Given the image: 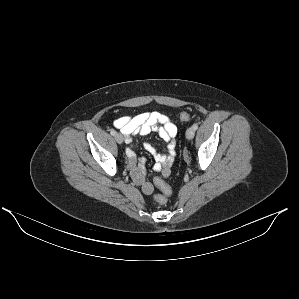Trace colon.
Segmentation results:
<instances>
[{
    "instance_id": "5ec220e1",
    "label": "colon",
    "mask_w": 299,
    "mask_h": 299,
    "mask_svg": "<svg viewBox=\"0 0 299 299\" xmlns=\"http://www.w3.org/2000/svg\"><path fill=\"white\" fill-rule=\"evenodd\" d=\"M179 118H180L181 121H187L190 118V115L187 112H183V113L180 114ZM157 185L160 188L162 194L156 195L155 200L159 204L163 205L167 202V198L171 194V188L163 180L158 181Z\"/></svg>"
}]
</instances>
